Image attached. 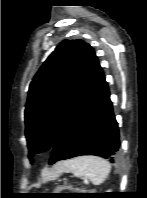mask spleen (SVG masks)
Listing matches in <instances>:
<instances>
[{
	"mask_svg": "<svg viewBox=\"0 0 147 198\" xmlns=\"http://www.w3.org/2000/svg\"><path fill=\"white\" fill-rule=\"evenodd\" d=\"M111 166L108 161L97 156H81L68 161L67 171L75 177L86 176L94 185L102 184L108 177Z\"/></svg>",
	"mask_w": 147,
	"mask_h": 198,
	"instance_id": "obj_1",
	"label": "spleen"
}]
</instances>
